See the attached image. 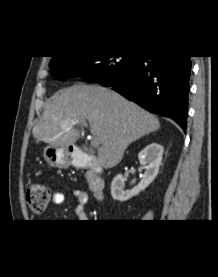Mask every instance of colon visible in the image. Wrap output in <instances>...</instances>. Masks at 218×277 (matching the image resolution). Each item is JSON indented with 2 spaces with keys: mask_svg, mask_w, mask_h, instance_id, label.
Returning a JSON list of instances; mask_svg holds the SVG:
<instances>
[{
  "mask_svg": "<svg viewBox=\"0 0 218 277\" xmlns=\"http://www.w3.org/2000/svg\"><path fill=\"white\" fill-rule=\"evenodd\" d=\"M27 203L35 213L43 212L50 199V190L44 184H33L26 192Z\"/></svg>",
  "mask_w": 218,
  "mask_h": 277,
  "instance_id": "colon-1",
  "label": "colon"
}]
</instances>
